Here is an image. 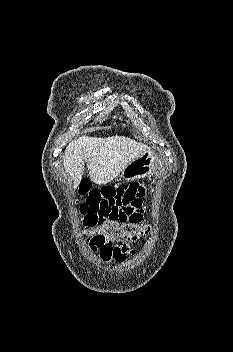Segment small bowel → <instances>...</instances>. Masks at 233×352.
I'll return each instance as SVG.
<instances>
[{"mask_svg":"<svg viewBox=\"0 0 233 352\" xmlns=\"http://www.w3.org/2000/svg\"><path fill=\"white\" fill-rule=\"evenodd\" d=\"M85 200L80 205L84 224L106 219H115L122 223L141 224L144 220L143 196L145 186L131 182L119 186L93 187L91 182L83 181L79 188ZM90 248L105 262L112 260L123 262L132 254L128 246L117 241H102L93 238Z\"/></svg>","mask_w":233,"mask_h":352,"instance_id":"1","label":"small bowel"}]
</instances>
